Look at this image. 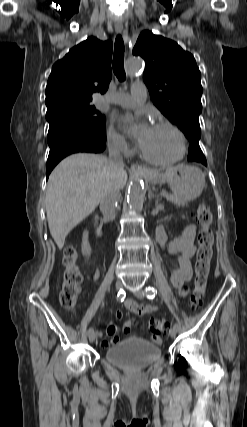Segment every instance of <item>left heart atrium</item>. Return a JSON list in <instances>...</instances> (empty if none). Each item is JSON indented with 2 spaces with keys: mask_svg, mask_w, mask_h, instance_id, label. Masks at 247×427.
<instances>
[{
  "mask_svg": "<svg viewBox=\"0 0 247 427\" xmlns=\"http://www.w3.org/2000/svg\"><path fill=\"white\" fill-rule=\"evenodd\" d=\"M133 119L131 117H126L123 119V124L125 127H129L133 124ZM151 128L146 125V124H141L140 126V133H139V138H138V142L140 145L143 144L146 136L148 135V133L150 132Z\"/></svg>",
  "mask_w": 247,
  "mask_h": 427,
  "instance_id": "left-heart-atrium-1",
  "label": "left heart atrium"
}]
</instances>
